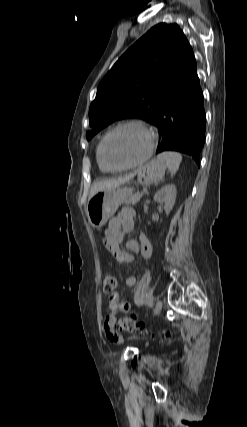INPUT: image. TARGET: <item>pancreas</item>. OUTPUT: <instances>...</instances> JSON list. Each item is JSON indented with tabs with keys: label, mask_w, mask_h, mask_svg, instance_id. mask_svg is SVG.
Instances as JSON below:
<instances>
[{
	"label": "pancreas",
	"mask_w": 247,
	"mask_h": 427,
	"mask_svg": "<svg viewBox=\"0 0 247 427\" xmlns=\"http://www.w3.org/2000/svg\"><path fill=\"white\" fill-rule=\"evenodd\" d=\"M142 193L136 192L135 194H133L130 198L126 199L124 202L126 204H137L140 200V198L142 197Z\"/></svg>",
	"instance_id": "1"
}]
</instances>
